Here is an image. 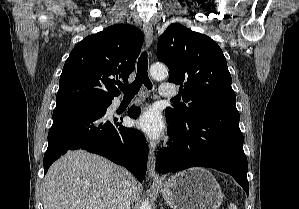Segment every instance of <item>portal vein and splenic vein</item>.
<instances>
[{
	"instance_id": "portal-vein-and-splenic-vein-1",
	"label": "portal vein and splenic vein",
	"mask_w": 299,
	"mask_h": 209,
	"mask_svg": "<svg viewBox=\"0 0 299 209\" xmlns=\"http://www.w3.org/2000/svg\"><path fill=\"white\" fill-rule=\"evenodd\" d=\"M93 209H100L99 207L95 206Z\"/></svg>"
}]
</instances>
